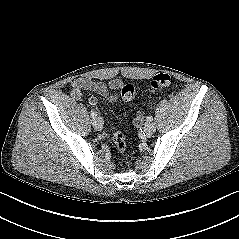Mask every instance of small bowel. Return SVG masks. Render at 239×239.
Listing matches in <instances>:
<instances>
[{"label": "small bowel", "instance_id": "obj_1", "mask_svg": "<svg viewBox=\"0 0 239 239\" xmlns=\"http://www.w3.org/2000/svg\"><path fill=\"white\" fill-rule=\"evenodd\" d=\"M122 82L118 79L110 81L108 84L103 82L93 81L87 78H77L71 83V95L72 97L79 99L81 98L84 91L95 92L102 96L109 102H115L118 99L117 94L114 91L121 89ZM88 103L91 107H95L98 103V99L95 96H91L88 99ZM142 116L138 115L135 119V123L141 122Z\"/></svg>", "mask_w": 239, "mask_h": 239}]
</instances>
